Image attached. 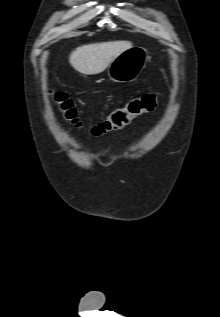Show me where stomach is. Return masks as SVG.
Returning <instances> with one entry per match:
<instances>
[{"mask_svg": "<svg viewBox=\"0 0 220 317\" xmlns=\"http://www.w3.org/2000/svg\"><path fill=\"white\" fill-rule=\"evenodd\" d=\"M148 59L147 50L143 47L134 46L117 56L109 65L108 77L119 83L132 82L146 66Z\"/></svg>", "mask_w": 220, "mask_h": 317, "instance_id": "1", "label": "stomach"}]
</instances>
